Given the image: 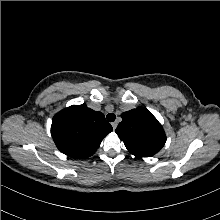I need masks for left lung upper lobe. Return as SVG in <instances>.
Returning a JSON list of instances; mask_svg holds the SVG:
<instances>
[{
	"label": "left lung upper lobe",
	"mask_w": 220,
	"mask_h": 220,
	"mask_svg": "<svg viewBox=\"0 0 220 220\" xmlns=\"http://www.w3.org/2000/svg\"><path fill=\"white\" fill-rule=\"evenodd\" d=\"M121 117L116 133L131 154L150 157L164 146L165 132L149 110L137 107L122 113Z\"/></svg>",
	"instance_id": "left-lung-upper-lobe-1"
}]
</instances>
